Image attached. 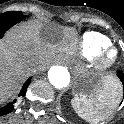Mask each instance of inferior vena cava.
<instances>
[{"mask_svg": "<svg viewBox=\"0 0 124 124\" xmlns=\"http://www.w3.org/2000/svg\"><path fill=\"white\" fill-rule=\"evenodd\" d=\"M30 70H31L32 72H37V71L39 70V65H38L37 63H32V64L30 65Z\"/></svg>", "mask_w": 124, "mask_h": 124, "instance_id": "obj_1", "label": "inferior vena cava"}]
</instances>
